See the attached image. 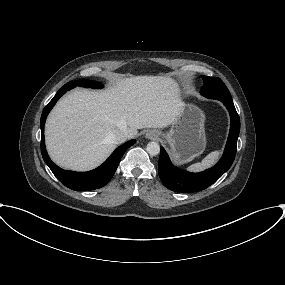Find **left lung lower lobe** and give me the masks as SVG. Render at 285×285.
I'll return each instance as SVG.
<instances>
[{
	"label": "left lung lower lobe",
	"instance_id": "obj_1",
	"mask_svg": "<svg viewBox=\"0 0 285 285\" xmlns=\"http://www.w3.org/2000/svg\"><path fill=\"white\" fill-rule=\"evenodd\" d=\"M230 113L231 128L224 154L212 168L200 173L180 170L172 165L166 151L160 148L158 172L163 184L170 190L181 193L201 191L215 183L232 165L240 132V118L233 102H223Z\"/></svg>",
	"mask_w": 285,
	"mask_h": 285
}]
</instances>
